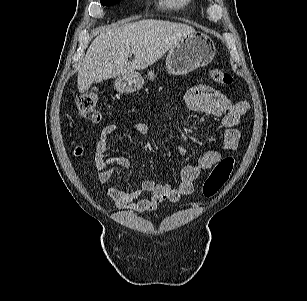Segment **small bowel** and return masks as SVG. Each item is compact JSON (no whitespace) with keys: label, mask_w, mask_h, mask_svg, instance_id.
Segmentation results:
<instances>
[{"label":"small bowel","mask_w":307,"mask_h":301,"mask_svg":"<svg viewBox=\"0 0 307 301\" xmlns=\"http://www.w3.org/2000/svg\"><path fill=\"white\" fill-rule=\"evenodd\" d=\"M184 100L193 111L222 118L224 138L221 147L205 152L195 164L183 168L179 182L175 186L148 179L143 182L141 189L136 191L107 188V195L117 209L144 213L155 210L164 201L177 202L182 196L194 192L195 182L201 172L210 170L221 159L223 152H232L238 148L241 134L237 126L249 109L247 102H233L220 91L204 84L189 88ZM133 127L141 135L150 134L149 126L143 122H136ZM115 129V124H107L98 134L95 165L98 170V181L101 184L107 183L116 169H128L131 166L126 156L105 157L104 155L109 147V137ZM180 152L185 154L186 149L180 147ZM142 192H149L150 195L142 197Z\"/></svg>","instance_id":"obj_1"}]
</instances>
